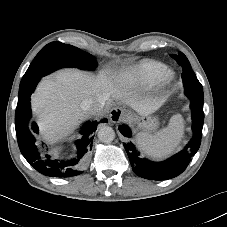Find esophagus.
<instances>
[{
	"mask_svg": "<svg viewBox=\"0 0 227 227\" xmlns=\"http://www.w3.org/2000/svg\"><path fill=\"white\" fill-rule=\"evenodd\" d=\"M124 116V111L120 107H115L110 111L109 118L113 123L119 122Z\"/></svg>",
	"mask_w": 227,
	"mask_h": 227,
	"instance_id": "34e87169",
	"label": "esophagus"
}]
</instances>
